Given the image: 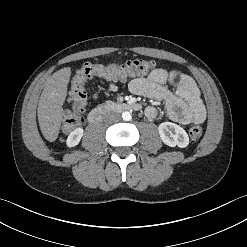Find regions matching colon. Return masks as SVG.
Segmentation results:
<instances>
[{
    "mask_svg": "<svg viewBox=\"0 0 247 247\" xmlns=\"http://www.w3.org/2000/svg\"><path fill=\"white\" fill-rule=\"evenodd\" d=\"M157 66L156 61L147 59H133L123 64H91L86 63L78 69L71 82L72 111L65 117L62 131L70 132L83 120V112L87 101L85 83L96 76L110 80H123L128 77L145 75ZM203 134L200 126H193L189 130L192 140H199Z\"/></svg>",
    "mask_w": 247,
    "mask_h": 247,
    "instance_id": "5ec220e1",
    "label": "colon"
}]
</instances>
